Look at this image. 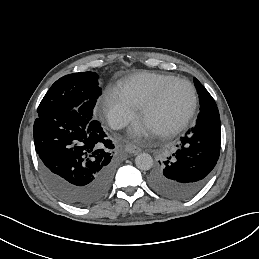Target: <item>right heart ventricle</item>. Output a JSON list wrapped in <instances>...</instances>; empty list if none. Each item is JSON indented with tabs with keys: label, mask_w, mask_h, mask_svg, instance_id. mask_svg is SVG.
Returning <instances> with one entry per match:
<instances>
[{
	"label": "right heart ventricle",
	"mask_w": 259,
	"mask_h": 259,
	"mask_svg": "<svg viewBox=\"0 0 259 259\" xmlns=\"http://www.w3.org/2000/svg\"><path fill=\"white\" fill-rule=\"evenodd\" d=\"M175 75L169 73L142 72L135 74L121 85L123 91L140 106L154 95L164 81Z\"/></svg>",
	"instance_id": "obj_1"
}]
</instances>
